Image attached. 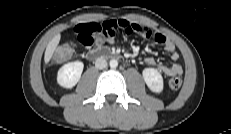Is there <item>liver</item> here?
Instances as JSON below:
<instances>
[{
	"instance_id": "liver-1",
	"label": "liver",
	"mask_w": 231,
	"mask_h": 134,
	"mask_svg": "<svg viewBox=\"0 0 231 134\" xmlns=\"http://www.w3.org/2000/svg\"><path fill=\"white\" fill-rule=\"evenodd\" d=\"M60 39H61V35L57 34L48 43V45L46 47V50H45V54H44V61H45V63H48L51 60V58L53 56V53L56 50V48H57V46H58V44L60 42Z\"/></svg>"
}]
</instances>
